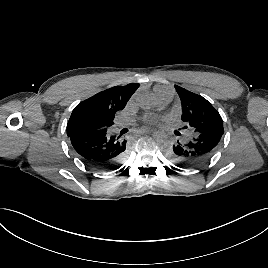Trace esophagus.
<instances>
[{
	"label": "esophagus",
	"instance_id": "34e87169",
	"mask_svg": "<svg viewBox=\"0 0 268 268\" xmlns=\"http://www.w3.org/2000/svg\"><path fill=\"white\" fill-rule=\"evenodd\" d=\"M145 134H146V136H148V137H149V136H151V135H152V130H150V131H149V130H148V131H146V133H145ZM143 135H144V134H143Z\"/></svg>",
	"mask_w": 268,
	"mask_h": 268
}]
</instances>
